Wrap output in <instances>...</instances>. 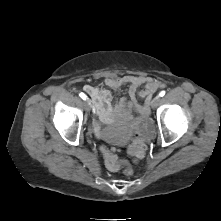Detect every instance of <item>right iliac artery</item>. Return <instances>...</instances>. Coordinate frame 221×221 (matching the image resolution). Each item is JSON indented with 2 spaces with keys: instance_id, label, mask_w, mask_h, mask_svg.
Here are the masks:
<instances>
[{
  "instance_id": "obj_1",
  "label": "right iliac artery",
  "mask_w": 221,
  "mask_h": 221,
  "mask_svg": "<svg viewBox=\"0 0 221 221\" xmlns=\"http://www.w3.org/2000/svg\"><path fill=\"white\" fill-rule=\"evenodd\" d=\"M79 96L83 99V100H86L87 99V96L84 94V93H80Z\"/></svg>"
}]
</instances>
